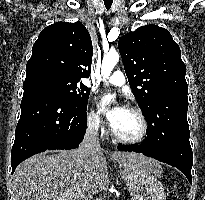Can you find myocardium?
<instances>
[{
  "instance_id": "obj_1",
  "label": "myocardium",
  "mask_w": 205,
  "mask_h": 200,
  "mask_svg": "<svg viewBox=\"0 0 205 200\" xmlns=\"http://www.w3.org/2000/svg\"><path fill=\"white\" fill-rule=\"evenodd\" d=\"M126 109L134 112L138 116V118L140 120V123H141L140 132L135 137H123V136L117 134L113 130V128L111 127L112 137L116 141L121 142V143H125V144H137V143H140V142H142L145 139V137H146V135L148 133L149 124H148L147 118H146L145 114L143 113V111L139 107H137L135 105H128Z\"/></svg>"
}]
</instances>
